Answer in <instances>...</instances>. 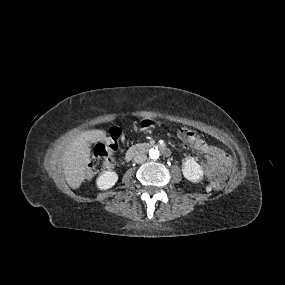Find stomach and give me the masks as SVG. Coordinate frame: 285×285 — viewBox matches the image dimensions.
<instances>
[{
    "instance_id": "obj_1",
    "label": "stomach",
    "mask_w": 285,
    "mask_h": 285,
    "mask_svg": "<svg viewBox=\"0 0 285 285\" xmlns=\"http://www.w3.org/2000/svg\"><path fill=\"white\" fill-rule=\"evenodd\" d=\"M143 127H154V124L152 122L146 121L142 123Z\"/></svg>"
}]
</instances>
